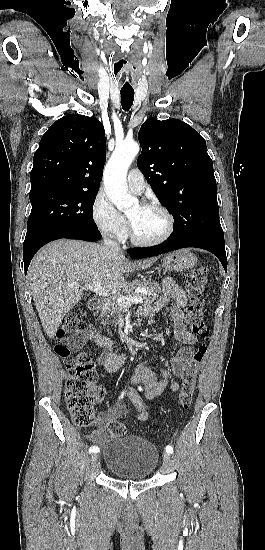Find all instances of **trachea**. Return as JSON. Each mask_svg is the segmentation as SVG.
Instances as JSON below:
<instances>
[{"mask_svg":"<svg viewBox=\"0 0 265 550\" xmlns=\"http://www.w3.org/2000/svg\"><path fill=\"white\" fill-rule=\"evenodd\" d=\"M121 105L124 111H129L134 101V92L121 91Z\"/></svg>","mask_w":265,"mask_h":550,"instance_id":"trachea-1","label":"trachea"}]
</instances>
